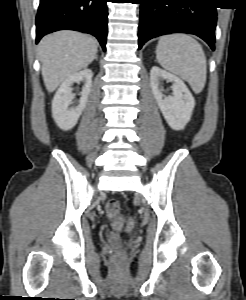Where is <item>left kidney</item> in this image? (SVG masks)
<instances>
[{"label":"left kidney","mask_w":246,"mask_h":300,"mask_svg":"<svg viewBox=\"0 0 246 300\" xmlns=\"http://www.w3.org/2000/svg\"><path fill=\"white\" fill-rule=\"evenodd\" d=\"M162 80L172 82V95L163 94ZM150 85L160 111L168 125L174 130H183L190 121L195 100L185 83L177 76L152 67Z\"/></svg>","instance_id":"1"}]
</instances>
